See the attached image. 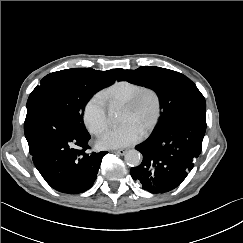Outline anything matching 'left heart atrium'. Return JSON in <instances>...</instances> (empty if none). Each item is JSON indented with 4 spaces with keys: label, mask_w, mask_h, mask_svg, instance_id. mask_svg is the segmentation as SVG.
Listing matches in <instances>:
<instances>
[{
    "label": "left heart atrium",
    "mask_w": 243,
    "mask_h": 243,
    "mask_svg": "<svg viewBox=\"0 0 243 243\" xmlns=\"http://www.w3.org/2000/svg\"><path fill=\"white\" fill-rule=\"evenodd\" d=\"M143 132L134 124L126 123L105 131L98 139L103 149H117L133 145L141 140Z\"/></svg>",
    "instance_id": "39dd6f15"
}]
</instances>
